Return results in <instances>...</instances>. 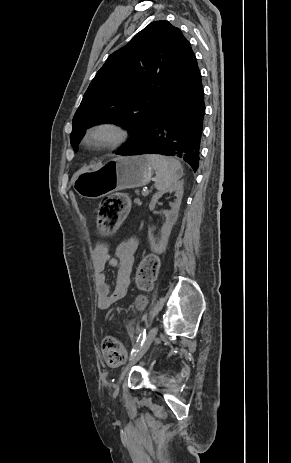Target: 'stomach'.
Listing matches in <instances>:
<instances>
[{
  "mask_svg": "<svg viewBox=\"0 0 291 463\" xmlns=\"http://www.w3.org/2000/svg\"><path fill=\"white\" fill-rule=\"evenodd\" d=\"M153 174L146 156L118 157L96 167H84L72 179L75 191L97 199L112 192L148 184Z\"/></svg>",
  "mask_w": 291,
  "mask_h": 463,
  "instance_id": "0dacf381",
  "label": "stomach"
}]
</instances>
